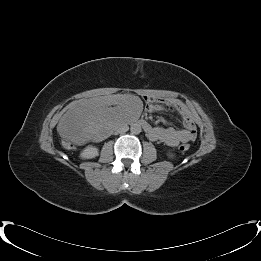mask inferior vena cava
I'll return each instance as SVG.
<instances>
[{
    "label": "inferior vena cava",
    "instance_id": "inferior-vena-cava-1",
    "mask_svg": "<svg viewBox=\"0 0 261 261\" xmlns=\"http://www.w3.org/2000/svg\"><path fill=\"white\" fill-rule=\"evenodd\" d=\"M128 130H129V127L127 124H121L116 131L119 134H123V133L127 132Z\"/></svg>",
    "mask_w": 261,
    "mask_h": 261
}]
</instances>
